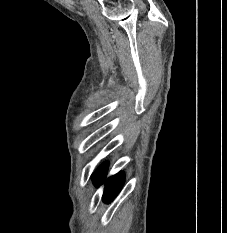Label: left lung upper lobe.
Listing matches in <instances>:
<instances>
[{"mask_svg": "<svg viewBox=\"0 0 227 233\" xmlns=\"http://www.w3.org/2000/svg\"><path fill=\"white\" fill-rule=\"evenodd\" d=\"M107 168H108V165L103 164L96 170L95 173H93L92 180H93L95 185L98 186L101 184L102 178H103L105 172L107 171Z\"/></svg>", "mask_w": 227, "mask_h": 233, "instance_id": "obj_1", "label": "left lung upper lobe"}]
</instances>
